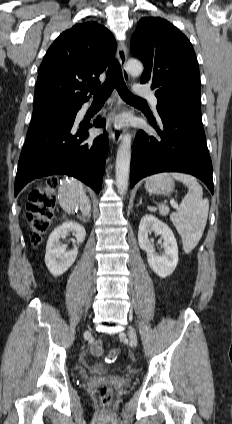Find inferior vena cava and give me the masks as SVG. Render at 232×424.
Masks as SVG:
<instances>
[{
    "label": "inferior vena cava",
    "mask_w": 232,
    "mask_h": 424,
    "mask_svg": "<svg viewBox=\"0 0 232 424\" xmlns=\"http://www.w3.org/2000/svg\"><path fill=\"white\" fill-rule=\"evenodd\" d=\"M90 202L86 195H82L80 198V209L83 215H88L90 212Z\"/></svg>",
    "instance_id": "602c4592"
}]
</instances>
